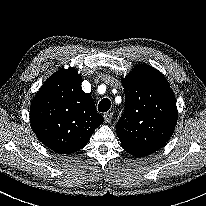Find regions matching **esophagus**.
Returning a JSON list of instances; mask_svg holds the SVG:
<instances>
[{"label":"esophagus","mask_w":206,"mask_h":206,"mask_svg":"<svg viewBox=\"0 0 206 206\" xmlns=\"http://www.w3.org/2000/svg\"><path fill=\"white\" fill-rule=\"evenodd\" d=\"M112 118H113V114L112 113H105L104 114V120H105L106 123H110Z\"/></svg>","instance_id":"obj_1"}]
</instances>
